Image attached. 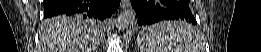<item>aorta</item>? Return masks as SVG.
Segmentation results:
<instances>
[{"instance_id": "obj_1", "label": "aorta", "mask_w": 261, "mask_h": 52, "mask_svg": "<svg viewBox=\"0 0 261 52\" xmlns=\"http://www.w3.org/2000/svg\"><path fill=\"white\" fill-rule=\"evenodd\" d=\"M137 23L136 12L132 8L125 9L117 19V25L120 30L131 29Z\"/></svg>"}]
</instances>
